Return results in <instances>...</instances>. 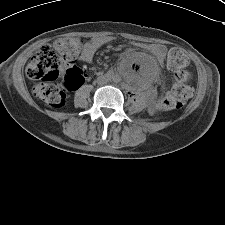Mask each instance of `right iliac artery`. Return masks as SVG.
I'll list each match as a JSON object with an SVG mask.
<instances>
[{
	"mask_svg": "<svg viewBox=\"0 0 225 225\" xmlns=\"http://www.w3.org/2000/svg\"><path fill=\"white\" fill-rule=\"evenodd\" d=\"M112 75V73H108V76H111Z\"/></svg>",
	"mask_w": 225,
	"mask_h": 225,
	"instance_id": "right-iliac-artery-1",
	"label": "right iliac artery"
}]
</instances>
